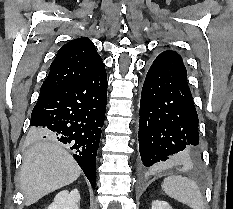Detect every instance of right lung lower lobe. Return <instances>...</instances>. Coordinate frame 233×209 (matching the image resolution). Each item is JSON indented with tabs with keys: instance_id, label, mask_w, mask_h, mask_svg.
<instances>
[{
	"instance_id": "1",
	"label": "right lung lower lobe",
	"mask_w": 233,
	"mask_h": 209,
	"mask_svg": "<svg viewBox=\"0 0 233 209\" xmlns=\"http://www.w3.org/2000/svg\"><path fill=\"white\" fill-rule=\"evenodd\" d=\"M106 101L107 75L103 65L75 83L41 95L31 115V126L57 136L75 152L73 157L93 188Z\"/></svg>"
}]
</instances>
